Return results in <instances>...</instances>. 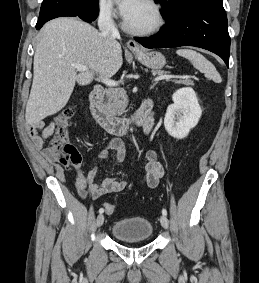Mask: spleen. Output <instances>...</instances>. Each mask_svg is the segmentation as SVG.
<instances>
[{"label": "spleen", "mask_w": 259, "mask_h": 283, "mask_svg": "<svg viewBox=\"0 0 259 283\" xmlns=\"http://www.w3.org/2000/svg\"><path fill=\"white\" fill-rule=\"evenodd\" d=\"M176 53L179 56L188 59L192 63L194 68L204 73L206 77L212 79L216 83H220L222 81L214 65L210 61H208L202 54L197 53L196 51L191 49H179Z\"/></svg>", "instance_id": "3e777b00"}]
</instances>
